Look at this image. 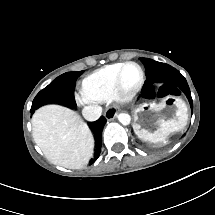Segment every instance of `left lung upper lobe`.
Segmentation results:
<instances>
[{"mask_svg": "<svg viewBox=\"0 0 215 215\" xmlns=\"http://www.w3.org/2000/svg\"><path fill=\"white\" fill-rule=\"evenodd\" d=\"M146 68V81L144 83L143 91L152 90L154 85L168 84L178 87L186 95L189 100L191 109L193 110V102L190 94L189 86L186 79L180 74L178 70L172 66L154 61L148 58H140Z\"/></svg>", "mask_w": 215, "mask_h": 215, "instance_id": "obj_1", "label": "left lung upper lobe"}]
</instances>
